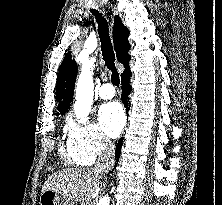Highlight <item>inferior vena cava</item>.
Listing matches in <instances>:
<instances>
[{"label":"inferior vena cava","mask_w":222,"mask_h":205,"mask_svg":"<svg viewBox=\"0 0 222 205\" xmlns=\"http://www.w3.org/2000/svg\"><path fill=\"white\" fill-rule=\"evenodd\" d=\"M114 143L106 139L103 143V147L98 157V161L95 165L94 171L97 174L103 175L108 173L114 165Z\"/></svg>","instance_id":"inferior-vena-cava-1"}]
</instances>
